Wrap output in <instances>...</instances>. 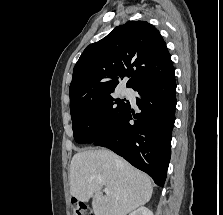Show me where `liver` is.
<instances>
[{"mask_svg":"<svg viewBox=\"0 0 223 215\" xmlns=\"http://www.w3.org/2000/svg\"><path fill=\"white\" fill-rule=\"evenodd\" d=\"M110 193L103 195L102 187ZM149 175L109 149L79 151L70 163V193L79 201L93 197L95 215H126L152 195Z\"/></svg>","mask_w":223,"mask_h":215,"instance_id":"obj_1","label":"liver"}]
</instances>
